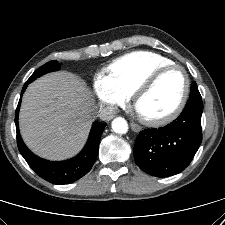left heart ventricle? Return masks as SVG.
<instances>
[{
	"label": "left heart ventricle",
	"mask_w": 225,
	"mask_h": 225,
	"mask_svg": "<svg viewBox=\"0 0 225 225\" xmlns=\"http://www.w3.org/2000/svg\"><path fill=\"white\" fill-rule=\"evenodd\" d=\"M184 87V75L180 70L164 74L137 104V112L144 117L155 118L169 113L178 103Z\"/></svg>",
	"instance_id": "b2bd125f"
}]
</instances>
